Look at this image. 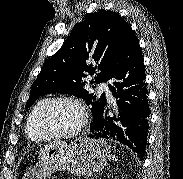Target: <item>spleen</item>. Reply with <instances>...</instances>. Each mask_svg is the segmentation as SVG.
I'll list each match as a JSON object with an SVG mask.
<instances>
[{"label": "spleen", "mask_w": 183, "mask_h": 179, "mask_svg": "<svg viewBox=\"0 0 183 179\" xmlns=\"http://www.w3.org/2000/svg\"><path fill=\"white\" fill-rule=\"evenodd\" d=\"M113 160H115V161H117L118 159H117V157L114 155L113 156Z\"/></svg>", "instance_id": "spleen-1"}]
</instances>
